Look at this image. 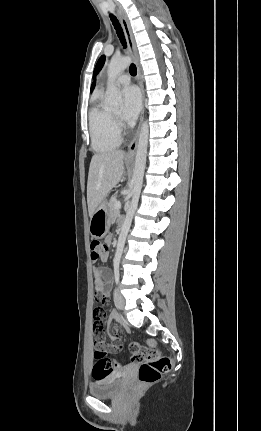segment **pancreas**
<instances>
[{"instance_id":"pancreas-1","label":"pancreas","mask_w":261,"mask_h":431,"mask_svg":"<svg viewBox=\"0 0 261 431\" xmlns=\"http://www.w3.org/2000/svg\"><path fill=\"white\" fill-rule=\"evenodd\" d=\"M118 202L116 196L112 197L109 201L108 208H109V216L113 220L115 219L118 214L119 210L115 208V203Z\"/></svg>"}]
</instances>
